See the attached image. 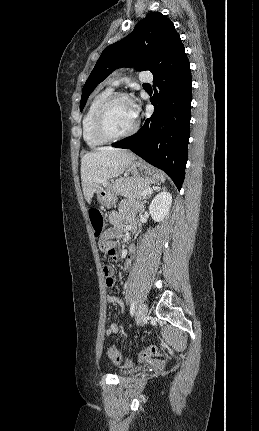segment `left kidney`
I'll return each instance as SVG.
<instances>
[{"label":"left kidney","instance_id":"1","mask_svg":"<svg viewBox=\"0 0 259 431\" xmlns=\"http://www.w3.org/2000/svg\"><path fill=\"white\" fill-rule=\"evenodd\" d=\"M172 203V195L165 191L157 194L150 203L149 213L154 221H162L168 214Z\"/></svg>","mask_w":259,"mask_h":431}]
</instances>
